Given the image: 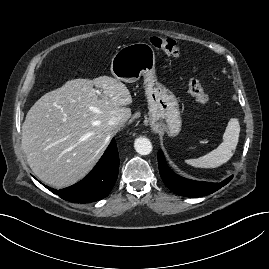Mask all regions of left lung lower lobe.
<instances>
[{
    "label": "left lung lower lobe",
    "mask_w": 269,
    "mask_h": 269,
    "mask_svg": "<svg viewBox=\"0 0 269 269\" xmlns=\"http://www.w3.org/2000/svg\"><path fill=\"white\" fill-rule=\"evenodd\" d=\"M158 166L161 178L166 186L181 196L200 197L211 194L225 186L233 176L220 183L193 181L175 174L167 165L161 150L158 151Z\"/></svg>",
    "instance_id": "1"
}]
</instances>
